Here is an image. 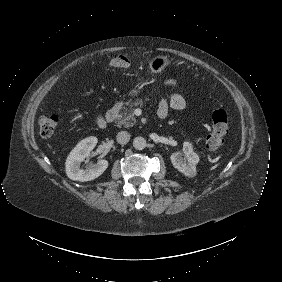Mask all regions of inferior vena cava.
Listing matches in <instances>:
<instances>
[{
  "mask_svg": "<svg viewBox=\"0 0 282 282\" xmlns=\"http://www.w3.org/2000/svg\"><path fill=\"white\" fill-rule=\"evenodd\" d=\"M130 140V133L128 131H119L117 133V141L120 144H126Z\"/></svg>",
  "mask_w": 282,
  "mask_h": 282,
  "instance_id": "1",
  "label": "inferior vena cava"
}]
</instances>
